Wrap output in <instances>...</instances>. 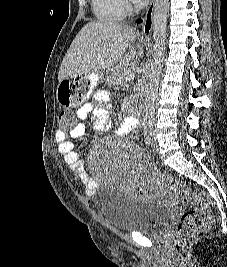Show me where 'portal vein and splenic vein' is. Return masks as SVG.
Listing matches in <instances>:
<instances>
[{"mask_svg": "<svg viewBox=\"0 0 227 267\" xmlns=\"http://www.w3.org/2000/svg\"><path fill=\"white\" fill-rule=\"evenodd\" d=\"M133 79L135 78V75H133V77H132Z\"/></svg>", "mask_w": 227, "mask_h": 267, "instance_id": "obj_1", "label": "portal vein and splenic vein"}]
</instances>
